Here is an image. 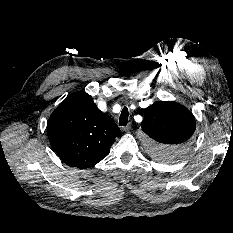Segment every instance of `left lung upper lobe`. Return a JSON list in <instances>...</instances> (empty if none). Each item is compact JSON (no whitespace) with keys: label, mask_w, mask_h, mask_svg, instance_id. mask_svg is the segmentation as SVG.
Wrapping results in <instances>:
<instances>
[{"label":"left lung upper lobe","mask_w":233,"mask_h":233,"mask_svg":"<svg viewBox=\"0 0 233 233\" xmlns=\"http://www.w3.org/2000/svg\"><path fill=\"white\" fill-rule=\"evenodd\" d=\"M141 127L149 136L151 153L164 160H174L189 149L196 121L185 106L156 101L144 110Z\"/></svg>","instance_id":"left-lung-upper-lobe-1"}]
</instances>
